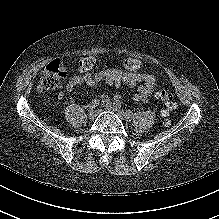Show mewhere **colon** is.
Masks as SVG:
<instances>
[{
    "label": "colon",
    "instance_id": "1",
    "mask_svg": "<svg viewBox=\"0 0 219 219\" xmlns=\"http://www.w3.org/2000/svg\"><path fill=\"white\" fill-rule=\"evenodd\" d=\"M82 64L85 68H91L94 65V60L92 58H85ZM66 71L67 68L62 60H52L42 71L38 88L41 91H49L55 89L61 80L65 77ZM156 97L163 103L166 115H168L175 108L174 99L171 93L165 90H161L156 94ZM164 121L165 124H168V117H166Z\"/></svg>",
    "mask_w": 219,
    "mask_h": 219
}]
</instances>
